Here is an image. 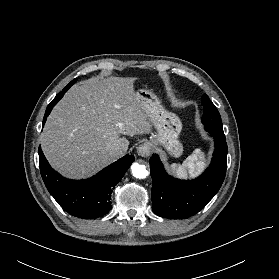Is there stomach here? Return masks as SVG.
I'll return each instance as SVG.
<instances>
[{
  "label": "stomach",
  "instance_id": "obj_1",
  "mask_svg": "<svg viewBox=\"0 0 279 279\" xmlns=\"http://www.w3.org/2000/svg\"><path fill=\"white\" fill-rule=\"evenodd\" d=\"M136 95L144 104L145 109L154 116L153 124L157 133L153 143L162 145L169 154L179 157L183 152V146L178 139L182 130L179 117L163 109L152 90L140 89Z\"/></svg>",
  "mask_w": 279,
  "mask_h": 279
}]
</instances>
